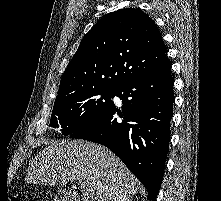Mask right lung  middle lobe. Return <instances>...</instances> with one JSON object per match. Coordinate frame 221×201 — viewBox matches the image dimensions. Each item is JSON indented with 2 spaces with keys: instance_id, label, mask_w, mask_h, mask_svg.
I'll list each match as a JSON object with an SVG mask.
<instances>
[{
  "instance_id": "obj_1",
  "label": "right lung middle lobe",
  "mask_w": 221,
  "mask_h": 201,
  "mask_svg": "<svg viewBox=\"0 0 221 201\" xmlns=\"http://www.w3.org/2000/svg\"><path fill=\"white\" fill-rule=\"evenodd\" d=\"M114 93V89L93 88L56 99L50 126L70 135L106 110Z\"/></svg>"
}]
</instances>
